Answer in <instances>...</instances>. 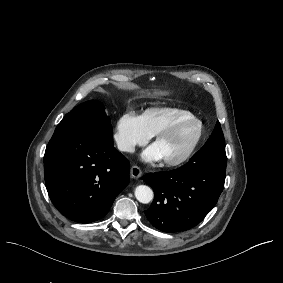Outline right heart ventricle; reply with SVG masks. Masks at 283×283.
<instances>
[{
  "label": "right heart ventricle",
  "mask_w": 283,
  "mask_h": 283,
  "mask_svg": "<svg viewBox=\"0 0 283 283\" xmlns=\"http://www.w3.org/2000/svg\"><path fill=\"white\" fill-rule=\"evenodd\" d=\"M189 111L178 108H150L143 115V121L147 129L152 135L163 131L177 119L184 116H191Z\"/></svg>",
  "instance_id": "right-heart-ventricle-1"
}]
</instances>
